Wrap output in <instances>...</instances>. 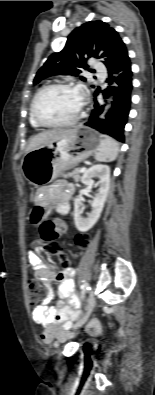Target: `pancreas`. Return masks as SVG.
Wrapping results in <instances>:
<instances>
[{"instance_id":"obj_1","label":"pancreas","mask_w":155,"mask_h":395,"mask_svg":"<svg viewBox=\"0 0 155 395\" xmlns=\"http://www.w3.org/2000/svg\"><path fill=\"white\" fill-rule=\"evenodd\" d=\"M63 178H69L72 177L76 182H78L81 179L79 168H75L72 172L62 174Z\"/></svg>"}]
</instances>
